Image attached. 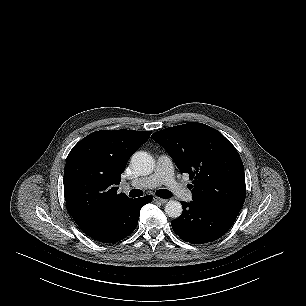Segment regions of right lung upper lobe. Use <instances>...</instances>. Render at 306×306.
I'll list each match as a JSON object with an SVG mask.
<instances>
[{
    "mask_svg": "<svg viewBox=\"0 0 306 306\" xmlns=\"http://www.w3.org/2000/svg\"><path fill=\"white\" fill-rule=\"evenodd\" d=\"M151 131H97L70 151L64 171L69 213L85 234L108 221L130 199L117 193L120 175Z\"/></svg>",
    "mask_w": 306,
    "mask_h": 306,
    "instance_id": "cb5924a9",
    "label": "right lung upper lobe"
}]
</instances>
